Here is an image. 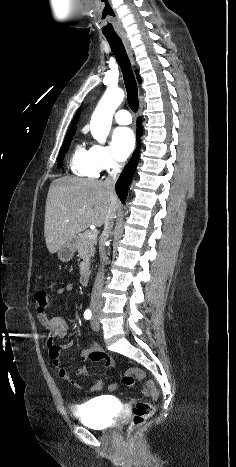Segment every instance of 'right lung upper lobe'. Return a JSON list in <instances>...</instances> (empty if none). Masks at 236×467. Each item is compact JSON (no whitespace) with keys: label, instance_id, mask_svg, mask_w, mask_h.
Instances as JSON below:
<instances>
[{"label":"right lung upper lobe","instance_id":"obj_1","mask_svg":"<svg viewBox=\"0 0 236 467\" xmlns=\"http://www.w3.org/2000/svg\"><path fill=\"white\" fill-rule=\"evenodd\" d=\"M136 75H137L138 81L141 82V79H140V77H139V75H138L137 72H136ZM79 115H80V112H78V113L75 115L74 119L72 120L71 126H70L69 131H68L67 134L75 133V131H76V126H75V125L77 124V121H78V119H79Z\"/></svg>","mask_w":236,"mask_h":467}]
</instances>
